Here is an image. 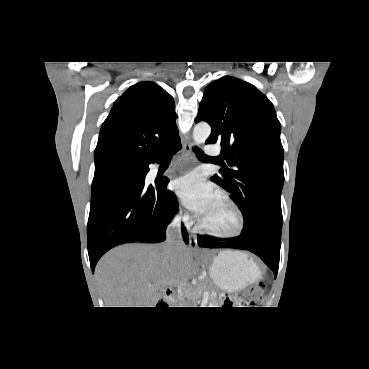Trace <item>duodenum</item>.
Returning a JSON list of instances; mask_svg holds the SVG:
<instances>
[{"mask_svg":"<svg viewBox=\"0 0 369 369\" xmlns=\"http://www.w3.org/2000/svg\"><path fill=\"white\" fill-rule=\"evenodd\" d=\"M165 299L167 301H172L173 300V290L172 289H167L165 291Z\"/></svg>","mask_w":369,"mask_h":369,"instance_id":"duodenum-1","label":"duodenum"}]
</instances>
